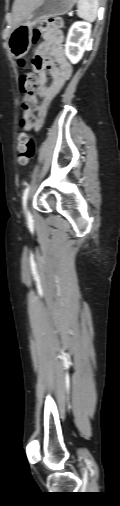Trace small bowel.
<instances>
[{"label":"small bowel","instance_id":"small-bowel-1","mask_svg":"<svg viewBox=\"0 0 120 506\" xmlns=\"http://www.w3.org/2000/svg\"><path fill=\"white\" fill-rule=\"evenodd\" d=\"M62 43V32L52 30L45 34V41L36 48L33 54L35 61L33 65L38 74L37 93L43 97V102L36 109L35 130L42 127L50 102L63 88L72 73V67L65 58ZM47 74H50L52 78L49 86L46 85Z\"/></svg>","mask_w":120,"mask_h":506}]
</instances>
